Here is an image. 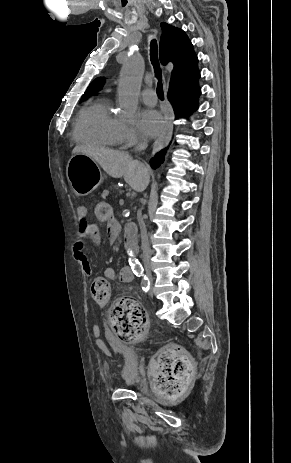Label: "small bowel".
I'll list each match as a JSON object with an SVG mask.
<instances>
[{
	"instance_id": "c3829d8e",
	"label": "small bowel",
	"mask_w": 291,
	"mask_h": 463,
	"mask_svg": "<svg viewBox=\"0 0 291 463\" xmlns=\"http://www.w3.org/2000/svg\"><path fill=\"white\" fill-rule=\"evenodd\" d=\"M78 217L80 221L79 238L73 244V256L80 265L83 273L90 276L92 274V267L84 253V239L89 238L94 244H99L101 241V234L99 228L88 220V211L85 207L79 209ZM102 221L107 222L108 244L110 246H116L118 244L117 235L120 233V228L115 217L112 214L111 218H105ZM126 270H129V272ZM104 276L111 281L120 280L121 282H131L134 279V275L129 267H124L119 274L115 269L107 268L104 271Z\"/></svg>"
}]
</instances>
